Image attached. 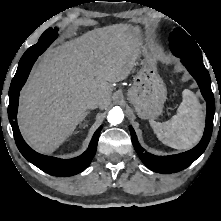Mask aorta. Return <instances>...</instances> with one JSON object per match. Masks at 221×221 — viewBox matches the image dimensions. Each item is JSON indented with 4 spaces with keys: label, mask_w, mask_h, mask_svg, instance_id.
<instances>
[{
    "label": "aorta",
    "mask_w": 221,
    "mask_h": 221,
    "mask_svg": "<svg viewBox=\"0 0 221 221\" xmlns=\"http://www.w3.org/2000/svg\"><path fill=\"white\" fill-rule=\"evenodd\" d=\"M107 119L112 125L120 124L124 119V113L119 107H114L109 111Z\"/></svg>",
    "instance_id": "762f6f07"
}]
</instances>
